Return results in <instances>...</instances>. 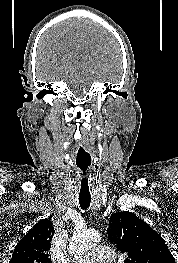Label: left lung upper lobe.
<instances>
[{
    "label": "left lung upper lobe",
    "mask_w": 178,
    "mask_h": 263,
    "mask_svg": "<svg viewBox=\"0 0 178 263\" xmlns=\"http://www.w3.org/2000/svg\"><path fill=\"white\" fill-rule=\"evenodd\" d=\"M108 238L119 250L128 253L124 263H175L164 239L131 212L111 215Z\"/></svg>",
    "instance_id": "1"
}]
</instances>
